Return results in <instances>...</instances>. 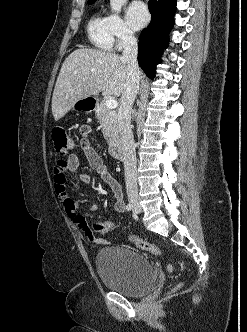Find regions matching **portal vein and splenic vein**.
<instances>
[{"label":"portal vein and splenic vein","mask_w":247,"mask_h":332,"mask_svg":"<svg viewBox=\"0 0 247 332\" xmlns=\"http://www.w3.org/2000/svg\"><path fill=\"white\" fill-rule=\"evenodd\" d=\"M105 105L109 109H114L118 106V103L114 98H109L105 101Z\"/></svg>","instance_id":"18ae733b"}]
</instances>
